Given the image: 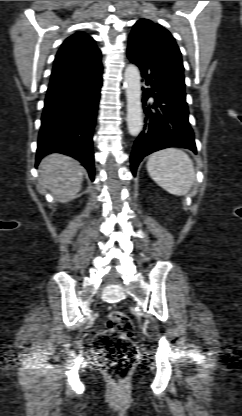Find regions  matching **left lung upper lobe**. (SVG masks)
<instances>
[{
  "mask_svg": "<svg viewBox=\"0 0 242 416\" xmlns=\"http://www.w3.org/2000/svg\"><path fill=\"white\" fill-rule=\"evenodd\" d=\"M129 43L151 53L169 69L176 81L185 86L181 52L169 31L148 19H140L133 27Z\"/></svg>",
  "mask_w": 242,
  "mask_h": 416,
  "instance_id": "1",
  "label": "left lung upper lobe"
}]
</instances>
